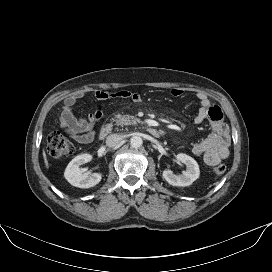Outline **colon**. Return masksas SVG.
<instances>
[{
    "instance_id": "colon-1",
    "label": "colon",
    "mask_w": 272,
    "mask_h": 272,
    "mask_svg": "<svg viewBox=\"0 0 272 272\" xmlns=\"http://www.w3.org/2000/svg\"><path fill=\"white\" fill-rule=\"evenodd\" d=\"M48 151L52 157L62 159L73 153L74 146L59 131H54L48 136ZM225 171L226 166L224 164H217L212 169L213 174L216 176L224 174Z\"/></svg>"
}]
</instances>
